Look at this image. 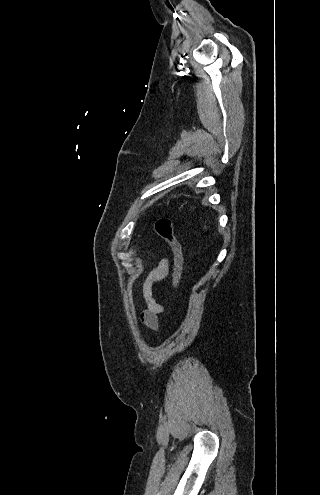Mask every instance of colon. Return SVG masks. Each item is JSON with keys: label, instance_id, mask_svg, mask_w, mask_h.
I'll list each match as a JSON object with an SVG mask.
<instances>
[{"label": "colon", "instance_id": "5ec220e1", "mask_svg": "<svg viewBox=\"0 0 320 495\" xmlns=\"http://www.w3.org/2000/svg\"><path fill=\"white\" fill-rule=\"evenodd\" d=\"M155 231L171 247L174 255V271L172 277V286L175 292L178 290L179 282L183 272L184 251L181 241L174 231V226L169 218H159L155 222Z\"/></svg>", "mask_w": 320, "mask_h": 495}]
</instances>
